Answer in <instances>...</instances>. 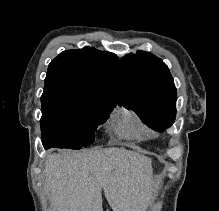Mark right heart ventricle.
Wrapping results in <instances>:
<instances>
[{"mask_svg":"<svg viewBox=\"0 0 219 211\" xmlns=\"http://www.w3.org/2000/svg\"><path fill=\"white\" fill-rule=\"evenodd\" d=\"M113 129L120 137L130 140L144 139L149 132L148 127L136 112L124 108L114 120Z\"/></svg>","mask_w":219,"mask_h":211,"instance_id":"obj_1","label":"right heart ventricle"}]
</instances>
